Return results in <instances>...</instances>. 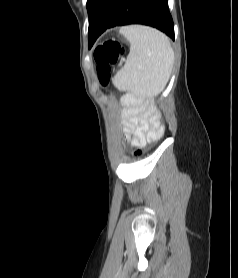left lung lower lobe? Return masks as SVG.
Wrapping results in <instances>:
<instances>
[{
    "label": "left lung lower lobe",
    "instance_id": "left-lung-lower-lobe-1",
    "mask_svg": "<svg viewBox=\"0 0 238 278\" xmlns=\"http://www.w3.org/2000/svg\"><path fill=\"white\" fill-rule=\"evenodd\" d=\"M127 24L153 26L174 39L168 0H99L89 17V47L106 29Z\"/></svg>",
    "mask_w": 238,
    "mask_h": 278
}]
</instances>
